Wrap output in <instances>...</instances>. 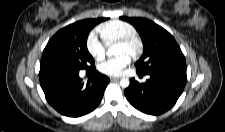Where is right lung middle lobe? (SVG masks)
Listing matches in <instances>:
<instances>
[{
	"instance_id": "dd1d6c3e",
	"label": "right lung middle lobe",
	"mask_w": 225,
	"mask_h": 132,
	"mask_svg": "<svg viewBox=\"0 0 225 132\" xmlns=\"http://www.w3.org/2000/svg\"><path fill=\"white\" fill-rule=\"evenodd\" d=\"M106 18L86 19L59 30L47 43L41 58L40 68L69 70L90 69L94 59L87 50L90 30Z\"/></svg>"
}]
</instances>
